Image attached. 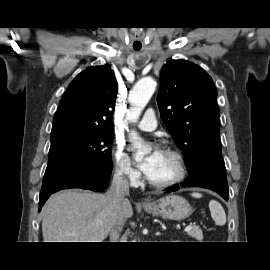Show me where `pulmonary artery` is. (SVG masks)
I'll return each instance as SVG.
<instances>
[{
  "label": "pulmonary artery",
  "instance_id": "pulmonary-artery-1",
  "mask_svg": "<svg viewBox=\"0 0 270 270\" xmlns=\"http://www.w3.org/2000/svg\"><path fill=\"white\" fill-rule=\"evenodd\" d=\"M137 126L143 131H153L157 127L155 112L153 109H148L143 118L138 122Z\"/></svg>",
  "mask_w": 270,
  "mask_h": 270
}]
</instances>
